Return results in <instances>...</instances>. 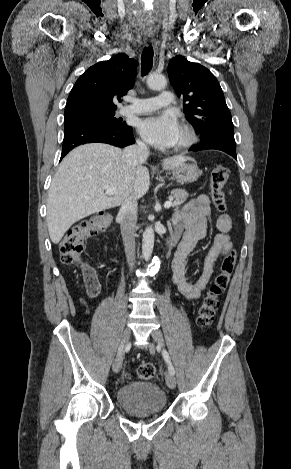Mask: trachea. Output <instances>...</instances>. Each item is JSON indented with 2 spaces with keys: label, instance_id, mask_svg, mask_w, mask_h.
I'll list each match as a JSON object with an SVG mask.
<instances>
[{
  "label": "trachea",
  "instance_id": "trachea-1",
  "mask_svg": "<svg viewBox=\"0 0 291 469\" xmlns=\"http://www.w3.org/2000/svg\"><path fill=\"white\" fill-rule=\"evenodd\" d=\"M153 62V48L152 46L145 47L141 55V75L145 76L152 68Z\"/></svg>",
  "mask_w": 291,
  "mask_h": 469
}]
</instances>
